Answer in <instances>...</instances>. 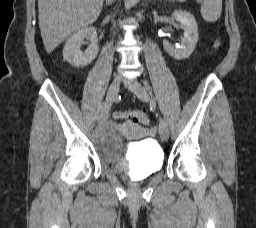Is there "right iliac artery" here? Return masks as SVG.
<instances>
[{
  "label": "right iliac artery",
  "mask_w": 256,
  "mask_h": 228,
  "mask_svg": "<svg viewBox=\"0 0 256 228\" xmlns=\"http://www.w3.org/2000/svg\"><path fill=\"white\" fill-rule=\"evenodd\" d=\"M106 106H107V103L106 102H103L102 105L100 106V109H99V113H98V116L101 117L106 109Z\"/></svg>",
  "instance_id": "82829eb1"
}]
</instances>
